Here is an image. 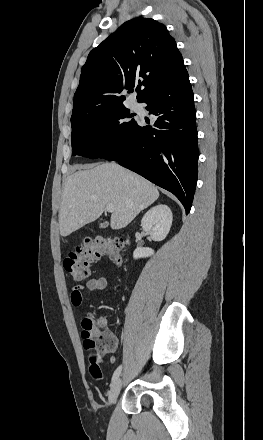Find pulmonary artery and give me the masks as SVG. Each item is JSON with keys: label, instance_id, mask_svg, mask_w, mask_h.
<instances>
[{"label": "pulmonary artery", "instance_id": "pulmonary-artery-1", "mask_svg": "<svg viewBox=\"0 0 263 440\" xmlns=\"http://www.w3.org/2000/svg\"><path fill=\"white\" fill-rule=\"evenodd\" d=\"M131 106H132V108L135 109V110L140 109L139 104H138L137 102H135V101L131 103Z\"/></svg>", "mask_w": 263, "mask_h": 440}]
</instances>
